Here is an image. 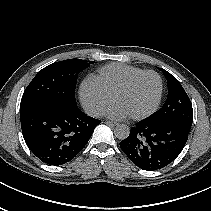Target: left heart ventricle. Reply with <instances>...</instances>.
<instances>
[{
    "instance_id": "left-heart-ventricle-1",
    "label": "left heart ventricle",
    "mask_w": 211,
    "mask_h": 211,
    "mask_svg": "<svg viewBox=\"0 0 211 211\" xmlns=\"http://www.w3.org/2000/svg\"><path fill=\"white\" fill-rule=\"evenodd\" d=\"M159 82L156 76L147 74L138 79L127 91L119 94L114 102L120 104L129 116L148 111L156 102Z\"/></svg>"
}]
</instances>
